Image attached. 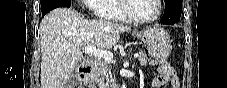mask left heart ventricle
<instances>
[{
    "mask_svg": "<svg viewBox=\"0 0 227 88\" xmlns=\"http://www.w3.org/2000/svg\"><path fill=\"white\" fill-rule=\"evenodd\" d=\"M129 11L138 19H149L156 15L157 6L155 0H132Z\"/></svg>",
    "mask_w": 227,
    "mask_h": 88,
    "instance_id": "b2bd125f",
    "label": "left heart ventricle"
}]
</instances>
